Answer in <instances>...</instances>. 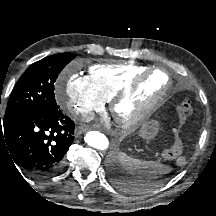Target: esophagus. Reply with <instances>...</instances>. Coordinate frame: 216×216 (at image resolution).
Here are the masks:
<instances>
[{
	"instance_id": "34e87169",
	"label": "esophagus",
	"mask_w": 216,
	"mask_h": 216,
	"mask_svg": "<svg viewBox=\"0 0 216 216\" xmlns=\"http://www.w3.org/2000/svg\"><path fill=\"white\" fill-rule=\"evenodd\" d=\"M87 130V128L86 127H83V126H77L76 128H75V135H80V134H82L83 132H85Z\"/></svg>"
}]
</instances>
